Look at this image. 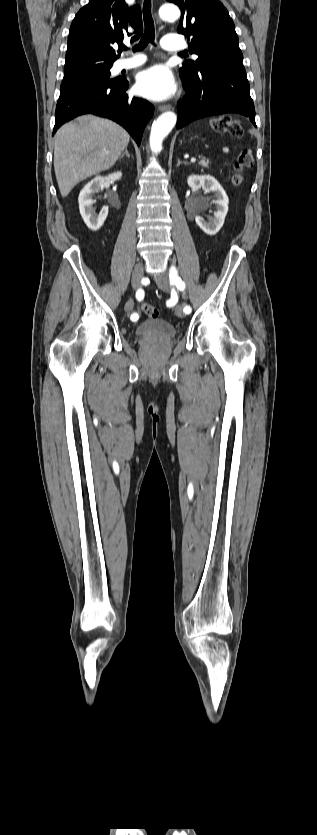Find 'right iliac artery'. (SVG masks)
Returning a JSON list of instances; mask_svg holds the SVG:
<instances>
[{
	"label": "right iliac artery",
	"instance_id": "82829eb1",
	"mask_svg": "<svg viewBox=\"0 0 317 835\" xmlns=\"http://www.w3.org/2000/svg\"><path fill=\"white\" fill-rule=\"evenodd\" d=\"M143 298H144V291H143L142 289L137 290V292H136V299H137L138 301H141ZM130 319H131V320H133V321H136V320L138 319V315H137L136 313H133V314L130 316Z\"/></svg>",
	"mask_w": 317,
	"mask_h": 835
}]
</instances>
